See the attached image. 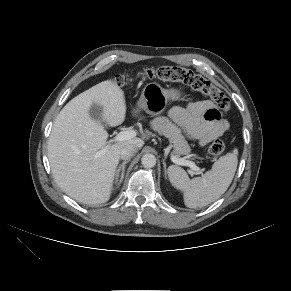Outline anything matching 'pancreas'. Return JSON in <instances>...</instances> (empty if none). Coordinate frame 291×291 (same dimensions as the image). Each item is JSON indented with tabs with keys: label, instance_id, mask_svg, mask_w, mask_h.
Segmentation results:
<instances>
[{
	"label": "pancreas",
	"instance_id": "obj_1",
	"mask_svg": "<svg viewBox=\"0 0 291 291\" xmlns=\"http://www.w3.org/2000/svg\"><path fill=\"white\" fill-rule=\"evenodd\" d=\"M154 131L169 139L176 157L190 153V147L181 129L173 124L167 117H157L151 122Z\"/></svg>",
	"mask_w": 291,
	"mask_h": 291
}]
</instances>
